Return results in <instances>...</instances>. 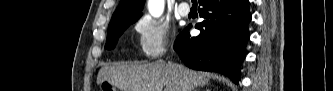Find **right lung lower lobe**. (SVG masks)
<instances>
[{
	"label": "right lung lower lobe",
	"mask_w": 333,
	"mask_h": 91,
	"mask_svg": "<svg viewBox=\"0 0 333 91\" xmlns=\"http://www.w3.org/2000/svg\"><path fill=\"white\" fill-rule=\"evenodd\" d=\"M199 5L204 21L195 28L200 34L190 37L185 28L179 33L174 49L188 67L218 71L237 83L249 39V0H200Z\"/></svg>",
	"instance_id": "right-lung-lower-lobe-1"
}]
</instances>
